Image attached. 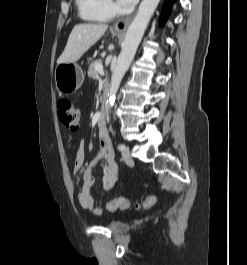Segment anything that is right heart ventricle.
Here are the masks:
<instances>
[{
	"mask_svg": "<svg viewBox=\"0 0 247 265\" xmlns=\"http://www.w3.org/2000/svg\"><path fill=\"white\" fill-rule=\"evenodd\" d=\"M80 16L87 21L106 22L112 17L105 9V0H76Z\"/></svg>",
	"mask_w": 247,
	"mask_h": 265,
	"instance_id": "right-heart-ventricle-1",
	"label": "right heart ventricle"
}]
</instances>
